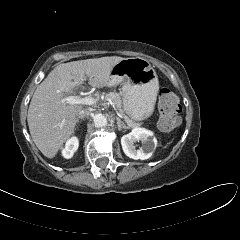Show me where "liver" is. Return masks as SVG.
<instances>
[{"label":"liver","instance_id":"liver-1","mask_svg":"<svg viewBox=\"0 0 240 240\" xmlns=\"http://www.w3.org/2000/svg\"><path fill=\"white\" fill-rule=\"evenodd\" d=\"M126 58L111 56L63 63L55 67L36 88L28 109L27 122L31 137L48 158L56 156L73 135L80 104L63 101L86 75L92 87L109 85L113 67Z\"/></svg>","mask_w":240,"mask_h":240}]
</instances>
